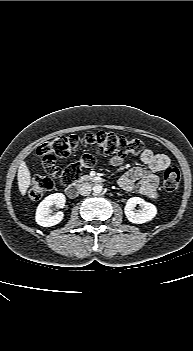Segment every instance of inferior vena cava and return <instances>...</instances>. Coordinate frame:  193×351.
<instances>
[{"mask_svg": "<svg viewBox=\"0 0 193 351\" xmlns=\"http://www.w3.org/2000/svg\"><path fill=\"white\" fill-rule=\"evenodd\" d=\"M91 186L88 183H83L79 188V193L83 196H87L91 193Z\"/></svg>", "mask_w": 193, "mask_h": 351, "instance_id": "602c4592", "label": "inferior vena cava"}]
</instances>
